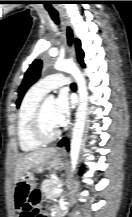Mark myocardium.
<instances>
[{"label": "myocardium", "mask_w": 132, "mask_h": 217, "mask_svg": "<svg viewBox=\"0 0 132 217\" xmlns=\"http://www.w3.org/2000/svg\"><path fill=\"white\" fill-rule=\"evenodd\" d=\"M47 98H43L37 105L32 117V133L34 137L41 143L46 144L54 141L60 134L57 128L52 133H48L43 125V113Z\"/></svg>", "instance_id": "f54148a6"}]
</instances>
